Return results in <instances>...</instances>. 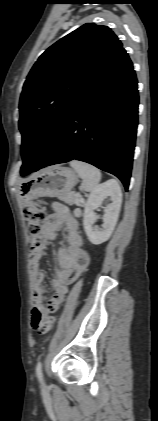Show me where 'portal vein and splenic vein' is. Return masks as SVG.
Wrapping results in <instances>:
<instances>
[{
    "mask_svg": "<svg viewBox=\"0 0 158 421\" xmlns=\"http://www.w3.org/2000/svg\"><path fill=\"white\" fill-rule=\"evenodd\" d=\"M77 197H79V198H81V195L80 194H75Z\"/></svg>",
    "mask_w": 158,
    "mask_h": 421,
    "instance_id": "portal-vein-and-splenic-vein-1",
    "label": "portal vein and splenic vein"
}]
</instances>
